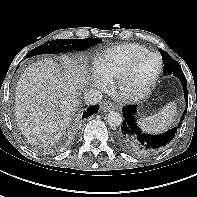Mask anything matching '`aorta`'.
<instances>
[{"instance_id":"obj_1","label":"aorta","mask_w":197,"mask_h":197,"mask_svg":"<svg viewBox=\"0 0 197 197\" xmlns=\"http://www.w3.org/2000/svg\"><path fill=\"white\" fill-rule=\"evenodd\" d=\"M122 116L120 113L111 111L107 115V122L111 127H118L122 124Z\"/></svg>"}]
</instances>
